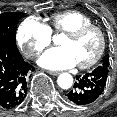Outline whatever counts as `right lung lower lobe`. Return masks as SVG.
Returning a JSON list of instances; mask_svg holds the SVG:
<instances>
[{"mask_svg": "<svg viewBox=\"0 0 117 117\" xmlns=\"http://www.w3.org/2000/svg\"><path fill=\"white\" fill-rule=\"evenodd\" d=\"M33 70L16 45H0V109H12L23 102L27 94V78Z\"/></svg>", "mask_w": 117, "mask_h": 117, "instance_id": "98d812e1", "label": "right lung lower lobe"}]
</instances>
